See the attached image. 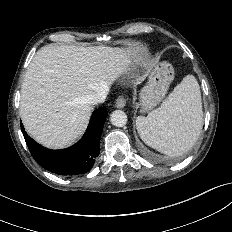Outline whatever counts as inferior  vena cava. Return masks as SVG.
<instances>
[{
	"instance_id": "1",
	"label": "inferior vena cava",
	"mask_w": 232,
	"mask_h": 232,
	"mask_svg": "<svg viewBox=\"0 0 232 232\" xmlns=\"http://www.w3.org/2000/svg\"><path fill=\"white\" fill-rule=\"evenodd\" d=\"M108 92V87L100 88L87 97V102L91 105L103 103L107 97Z\"/></svg>"
}]
</instances>
